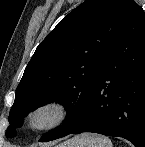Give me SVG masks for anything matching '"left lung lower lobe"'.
Here are the masks:
<instances>
[{"mask_svg": "<svg viewBox=\"0 0 145 147\" xmlns=\"http://www.w3.org/2000/svg\"><path fill=\"white\" fill-rule=\"evenodd\" d=\"M94 132L145 147V13L133 0L77 126L69 134Z\"/></svg>", "mask_w": 145, "mask_h": 147, "instance_id": "obj_1", "label": "left lung lower lobe"}]
</instances>
